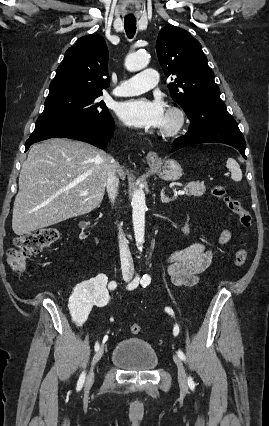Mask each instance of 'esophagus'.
Returning a JSON list of instances; mask_svg holds the SVG:
<instances>
[{"instance_id": "34e87169", "label": "esophagus", "mask_w": 269, "mask_h": 426, "mask_svg": "<svg viewBox=\"0 0 269 426\" xmlns=\"http://www.w3.org/2000/svg\"><path fill=\"white\" fill-rule=\"evenodd\" d=\"M146 160H147V163H148L149 165H155V164H157V163H158V161H159L158 154H157L156 152H154V151H150V152L146 155Z\"/></svg>"}]
</instances>
